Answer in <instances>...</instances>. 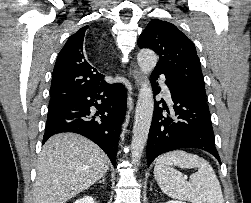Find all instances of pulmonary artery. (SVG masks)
<instances>
[{
	"mask_svg": "<svg viewBox=\"0 0 251 203\" xmlns=\"http://www.w3.org/2000/svg\"><path fill=\"white\" fill-rule=\"evenodd\" d=\"M160 83L162 85L163 92L165 93V95L167 97H169L170 96V92H169L168 87L164 84V82L162 81V79H160Z\"/></svg>",
	"mask_w": 251,
	"mask_h": 203,
	"instance_id": "obj_1",
	"label": "pulmonary artery"
}]
</instances>
